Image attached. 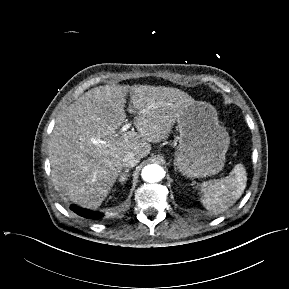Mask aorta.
I'll return each mask as SVG.
<instances>
[{"mask_svg":"<svg viewBox=\"0 0 289 289\" xmlns=\"http://www.w3.org/2000/svg\"><path fill=\"white\" fill-rule=\"evenodd\" d=\"M142 179L149 183L158 182L164 178V169L157 164H150L145 166L141 172Z\"/></svg>","mask_w":289,"mask_h":289,"instance_id":"762f6f07","label":"aorta"}]
</instances>
